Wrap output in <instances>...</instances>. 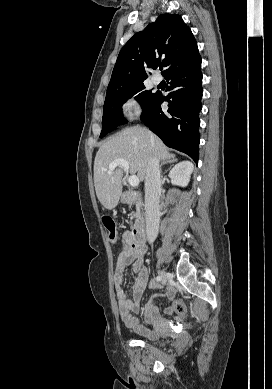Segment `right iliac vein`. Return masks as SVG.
<instances>
[{"mask_svg":"<svg viewBox=\"0 0 272 389\" xmlns=\"http://www.w3.org/2000/svg\"><path fill=\"white\" fill-rule=\"evenodd\" d=\"M160 277H161V280L163 283H166L168 278H169V274L163 270L160 271Z\"/></svg>","mask_w":272,"mask_h":389,"instance_id":"63e3f726","label":"right iliac vein"}]
</instances>
